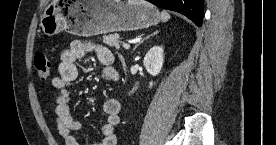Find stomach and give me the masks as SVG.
Instances as JSON below:
<instances>
[{
	"mask_svg": "<svg viewBox=\"0 0 276 145\" xmlns=\"http://www.w3.org/2000/svg\"><path fill=\"white\" fill-rule=\"evenodd\" d=\"M159 10L144 0H57L42 14L40 27L47 36L62 31L90 37L156 25Z\"/></svg>",
	"mask_w": 276,
	"mask_h": 145,
	"instance_id": "1",
	"label": "stomach"
}]
</instances>
